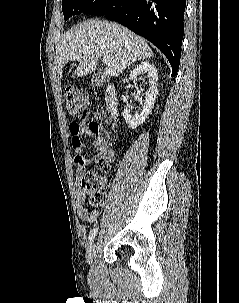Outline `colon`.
Wrapping results in <instances>:
<instances>
[{
    "label": "colon",
    "mask_w": 239,
    "mask_h": 303,
    "mask_svg": "<svg viewBox=\"0 0 239 303\" xmlns=\"http://www.w3.org/2000/svg\"><path fill=\"white\" fill-rule=\"evenodd\" d=\"M66 110L70 115H79L81 117H90L91 119H100L102 114L98 113L90 116L89 97L85 92L77 88H67L65 91ZM100 171L107 169V163L100 161L98 163ZM81 188L88 197L91 205L99 206L104 203L106 198L103 178L93 172H86L80 179Z\"/></svg>",
    "instance_id": "obj_1"
}]
</instances>
